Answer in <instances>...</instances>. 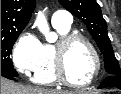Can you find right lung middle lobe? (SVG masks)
<instances>
[{"mask_svg":"<svg viewBox=\"0 0 121 94\" xmlns=\"http://www.w3.org/2000/svg\"><path fill=\"white\" fill-rule=\"evenodd\" d=\"M21 32L22 30L1 33V75L2 76L16 77L18 75V73L13 67L12 60L10 59V54L12 51V47Z\"/></svg>","mask_w":121,"mask_h":94,"instance_id":"1","label":"right lung middle lobe"}]
</instances>
